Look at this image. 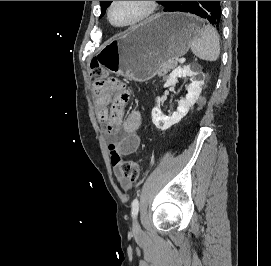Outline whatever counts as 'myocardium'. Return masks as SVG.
Segmentation results:
<instances>
[{
  "instance_id": "obj_1",
  "label": "myocardium",
  "mask_w": 271,
  "mask_h": 266,
  "mask_svg": "<svg viewBox=\"0 0 271 266\" xmlns=\"http://www.w3.org/2000/svg\"><path fill=\"white\" fill-rule=\"evenodd\" d=\"M115 3H116V1L110 2L109 6L107 8V18L112 26H114L116 28H120V29L133 28V27H136V26L146 22L154 15V13L157 10V1H144L145 10L140 17H138L136 20H134L131 23L119 25V24H116L113 22L112 16H111L112 8Z\"/></svg>"
}]
</instances>
